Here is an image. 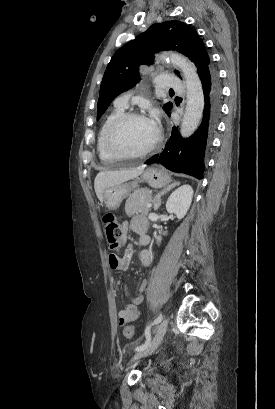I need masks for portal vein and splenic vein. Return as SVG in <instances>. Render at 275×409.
<instances>
[{
  "label": "portal vein and splenic vein",
  "mask_w": 275,
  "mask_h": 409,
  "mask_svg": "<svg viewBox=\"0 0 275 409\" xmlns=\"http://www.w3.org/2000/svg\"><path fill=\"white\" fill-rule=\"evenodd\" d=\"M147 207H148V209H149V207H152L151 202H148Z\"/></svg>",
  "instance_id": "18ae733b"
}]
</instances>
